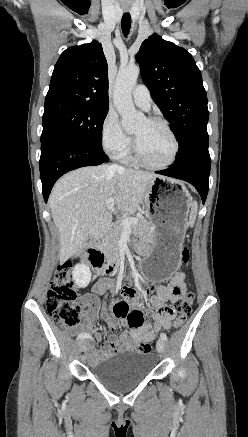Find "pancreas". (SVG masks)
Here are the masks:
<instances>
[{"label":"pancreas","instance_id":"pancreas-1","mask_svg":"<svg viewBox=\"0 0 248 437\" xmlns=\"http://www.w3.org/2000/svg\"><path fill=\"white\" fill-rule=\"evenodd\" d=\"M136 218L138 219V223L133 226V230L148 240L151 237L150 222L142 216ZM123 230L124 228L121 223L116 224L103 244L108 258L112 261L118 257V242Z\"/></svg>","mask_w":248,"mask_h":437}]
</instances>
